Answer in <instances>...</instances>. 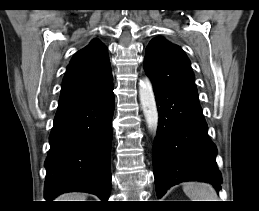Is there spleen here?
<instances>
[{
	"label": "spleen",
	"mask_w": 259,
	"mask_h": 211,
	"mask_svg": "<svg viewBox=\"0 0 259 211\" xmlns=\"http://www.w3.org/2000/svg\"><path fill=\"white\" fill-rule=\"evenodd\" d=\"M183 191L190 201H218L214 188L205 182H186Z\"/></svg>",
	"instance_id": "3e777b00"
}]
</instances>
